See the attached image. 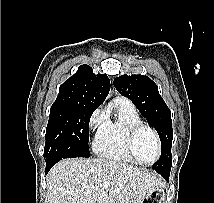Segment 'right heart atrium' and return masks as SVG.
Returning a JSON list of instances; mask_svg holds the SVG:
<instances>
[{
    "label": "right heart atrium",
    "instance_id": "right-heart-atrium-1",
    "mask_svg": "<svg viewBox=\"0 0 214 203\" xmlns=\"http://www.w3.org/2000/svg\"><path fill=\"white\" fill-rule=\"evenodd\" d=\"M106 119H107V114L101 107H98L97 109H95L90 115V118L88 121V126L90 130L98 133V131H100L105 125Z\"/></svg>",
    "mask_w": 214,
    "mask_h": 203
}]
</instances>
